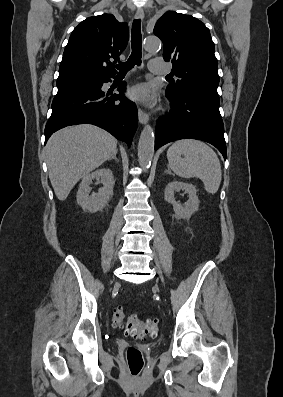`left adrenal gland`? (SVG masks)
Wrapping results in <instances>:
<instances>
[{"label":"left adrenal gland","mask_w":283,"mask_h":397,"mask_svg":"<svg viewBox=\"0 0 283 397\" xmlns=\"http://www.w3.org/2000/svg\"><path fill=\"white\" fill-rule=\"evenodd\" d=\"M165 173H166V174L173 175V173L170 171L169 167H168V170H165Z\"/></svg>","instance_id":"obj_1"}]
</instances>
